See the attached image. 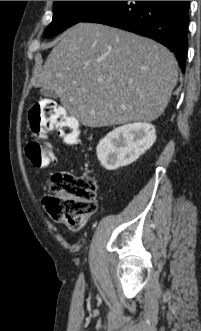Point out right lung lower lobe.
<instances>
[{"mask_svg": "<svg viewBox=\"0 0 201 331\" xmlns=\"http://www.w3.org/2000/svg\"><path fill=\"white\" fill-rule=\"evenodd\" d=\"M188 10L189 1H107L81 22L101 23L152 38L174 52L184 72Z\"/></svg>", "mask_w": 201, "mask_h": 331, "instance_id": "obj_1", "label": "right lung lower lobe"}]
</instances>
